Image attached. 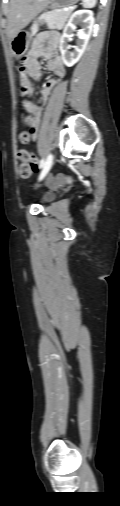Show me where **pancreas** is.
I'll list each match as a JSON object with an SVG mask.
<instances>
[{"label": "pancreas", "instance_id": "obj_1", "mask_svg": "<svg viewBox=\"0 0 120 506\" xmlns=\"http://www.w3.org/2000/svg\"><path fill=\"white\" fill-rule=\"evenodd\" d=\"M71 11H65L62 9H54L43 15V20L46 22L49 29H62L65 22L69 18ZM38 31V26L32 27V33L35 34Z\"/></svg>", "mask_w": 120, "mask_h": 506}]
</instances>
